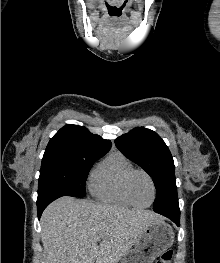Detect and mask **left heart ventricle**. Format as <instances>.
I'll use <instances>...</instances> for the list:
<instances>
[{"mask_svg": "<svg viewBox=\"0 0 220 263\" xmlns=\"http://www.w3.org/2000/svg\"><path fill=\"white\" fill-rule=\"evenodd\" d=\"M131 193L134 200L141 205L148 204L152 199V188L148 179L141 174L134 176L131 183Z\"/></svg>", "mask_w": 220, "mask_h": 263, "instance_id": "1", "label": "left heart ventricle"}]
</instances>
